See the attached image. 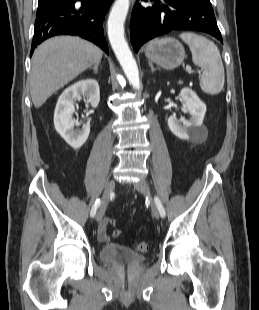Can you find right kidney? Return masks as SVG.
I'll use <instances>...</instances> for the list:
<instances>
[{
    "label": "right kidney",
    "instance_id": "1",
    "mask_svg": "<svg viewBox=\"0 0 259 310\" xmlns=\"http://www.w3.org/2000/svg\"><path fill=\"white\" fill-rule=\"evenodd\" d=\"M81 95L87 103L96 108L100 101L98 82L95 79L81 80L65 89L57 101L54 112L56 131L74 149L80 148L90 133L89 123L83 124L81 129L74 128L80 124L72 119L75 111L74 101Z\"/></svg>",
    "mask_w": 259,
    "mask_h": 310
}]
</instances>
